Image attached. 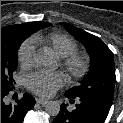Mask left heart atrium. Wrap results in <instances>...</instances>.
Masks as SVG:
<instances>
[{
  "instance_id": "1",
  "label": "left heart atrium",
  "mask_w": 123,
  "mask_h": 123,
  "mask_svg": "<svg viewBox=\"0 0 123 123\" xmlns=\"http://www.w3.org/2000/svg\"><path fill=\"white\" fill-rule=\"evenodd\" d=\"M27 87L41 97H50L65 83L61 72L40 70L30 74Z\"/></svg>"
}]
</instances>
